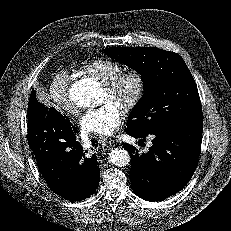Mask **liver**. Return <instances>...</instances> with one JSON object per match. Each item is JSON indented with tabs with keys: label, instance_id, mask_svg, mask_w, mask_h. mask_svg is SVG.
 Masks as SVG:
<instances>
[{
	"label": "liver",
	"instance_id": "1",
	"mask_svg": "<svg viewBox=\"0 0 231 231\" xmlns=\"http://www.w3.org/2000/svg\"><path fill=\"white\" fill-rule=\"evenodd\" d=\"M37 97H38V100L42 102L43 104H45L46 106L49 107L52 105L50 101V96L48 95V93L44 91V88L41 87L37 89Z\"/></svg>",
	"mask_w": 231,
	"mask_h": 231
}]
</instances>
